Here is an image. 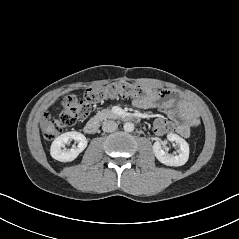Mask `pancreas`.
Returning a JSON list of instances; mask_svg holds the SVG:
<instances>
[{
	"label": "pancreas",
	"instance_id": "cf45deb5",
	"mask_svg": "<svg viewBox=\"0 0 239 239\" xmlns=\"http://www.w3.org/2000/svg\"><path fill=\"white\" fill-rule=\"evenodd\" d=\"M114 117H116V115L110 109H103L102 111H99L95 116V118L99 121Z\"/></svg>",
	"mask_w": 239,
	"mask_h": 239
}]
</instances>
